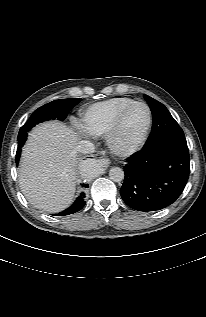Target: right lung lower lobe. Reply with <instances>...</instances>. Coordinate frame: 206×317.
<instances>
[{
  "mask_svg": "<svg viewBox=\"0 0 206 317\" xmlns=\"http://www.w3.org/2000/svg\"><path fill=\"white\" fill-rule=\"evenodd\" d=\"M21 150V149H17ZM85 187H88V185H85ZM85 194L84 192L80 193L79 197L76 199V201L71 205L68 209L64 210L63 212H60L59 214H55V216H65L69 214H73L81 210L85 206Z\"/></svg>",
  "mask_w": 206,
  "mask_h": 317,
  "instance_id": "1",
  "label": "right lung lower lobe"
}]
</instances>
